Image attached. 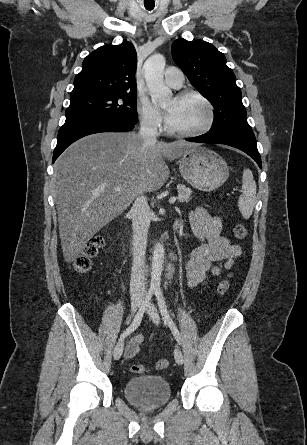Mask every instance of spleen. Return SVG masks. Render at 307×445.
<instances>
[{
    "instance_id": "obj_1",
    "label": "spleen",
    "mask_w": 307,
    "mask_h": 445,
    "mask_svg": "<svg viewBox=\"0 0 307 445\" xmlns=\"http://www.w3.org/2000/svg\"><path fill=\"white\" fill-rule=\"evenodd\" d=\"M242 182V194L238 200V206L242 216L250 218L256 202V182L250 168L243 170Z\"/></svg>"
}]
</instances>
